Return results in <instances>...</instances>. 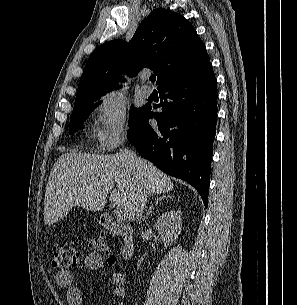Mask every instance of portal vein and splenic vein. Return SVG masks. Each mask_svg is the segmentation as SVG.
<instances>
[{
  "label": "portal vein and splenic vein",
  "instance_id": "18ae733b",
  "mask_svg": "<svg viewBox=\"0 0 297 305\" xmlns=\"http://www.w3.org/2000/svg\"><path fill=\"white\" fill-rule=\"evenodd\" d=\"M116 218L118 220H126L127 214L125 213L124 210L118 209V210H116Z\"/></svg>",
  "mask_w": 297,
  "mask_h": 305
}]
</instances>
